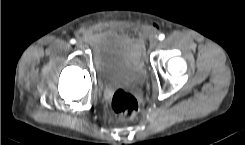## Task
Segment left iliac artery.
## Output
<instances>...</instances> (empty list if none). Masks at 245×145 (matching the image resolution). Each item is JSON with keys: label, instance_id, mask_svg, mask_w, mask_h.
Segmentation results:
<instances>
[{"label": "left iliac artery", "instance_id": "1", "mask_svg": "<svg viewBox=\"0 0 245 145\" xmlns=\"http://www.w3.org/2000/svg\"><path fill=\"white\" fill-rule=\"evenodd\" d=\"M165 38L164 34L159 35V40H163Z\"/></svg>", "mask_w": 245, "mask_h": 145}]
</instances>
